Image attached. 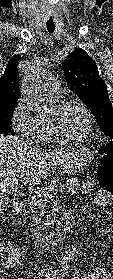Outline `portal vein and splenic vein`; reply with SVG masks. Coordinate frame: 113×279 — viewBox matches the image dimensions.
Segmentation results:
<instances>
[{"instance_id":"obj_1","label":"portal vein and splenic vein","mask_w":113,"mask_h":279,"mask_svg":"<svg viewBox=\"0 0 113 279\" xmlns=\"http://www.w3.org/2000/svg\"><path fill=\"white\" fill-rule=\"evenodd\" d=\"M25 175L24 172H19L18 176L23 177ZM61 189H65L64 187H62ZM52 199V194L48 195L47 198L45 199V201Z\"/></svg>"}]
</instances>
